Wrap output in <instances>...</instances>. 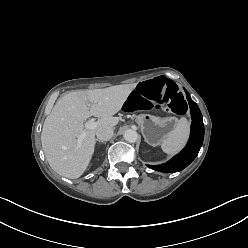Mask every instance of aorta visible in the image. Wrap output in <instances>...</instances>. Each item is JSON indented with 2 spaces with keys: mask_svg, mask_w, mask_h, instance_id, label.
Here are the masks:
<instances>
[{
  "mask_svg": "<svg viewBox=\"0 0 248 248\" xmlns=\"http://www.w3.org/2000/svg\"><path fill=\"white\" fill-rule=\"evenodd\" d=\"M124 139L129 143H134L138 139V134L135 130L129 129L124 133Z\"/></svg>",
  "mask_w": 248,
  "mask_h": 248,
  "instance_id": "aorta-1",
  "label": "aorta"
}]
</instances>
